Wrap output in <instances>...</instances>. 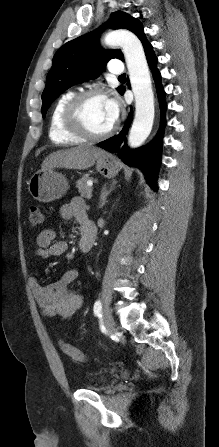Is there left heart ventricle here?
<instances>
[{
    "mask_svg": "<svg viewBox=\"0 0 219 447\" xmlns=\"http://www.w3.org/2000/svg\"><path fill=\"white\" fill-rule=\"evenodd\" d=\"M83 120L93 132L100 133L110 129L113 124L107 112L105 99H91L83 109Z\"/></svg>",
    "mask_w": 219,
    "mask_h": 447,
    "instance_id": "1",
    "label": "left heart ventricle"
}]
</instances>
